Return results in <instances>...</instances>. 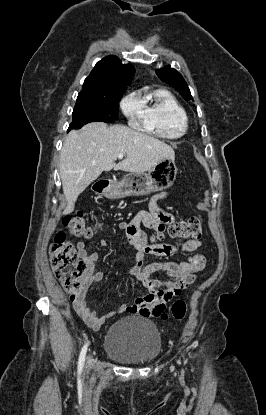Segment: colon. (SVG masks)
Here are the masks:
<instances>
[{
    "label": "colon",
    "instance_id": "5ec220e1",
    "mask_svg": "<svg viewBox=\"0 0 266 415\" xmlns=\"http://www.w3.org/2000/svg\"><path fill=\"white\" fill-rule=\"evenodd\" d=\"M69 233L75 237L89 238L94 229L86 225L83 214L78 213L68 216L63 221ZM202 234L200 218L191 217L171 223L164 230L158 232L159 238L165 235L174 239H197ZM50 259L55 275L62 282L71 300L78 296L81 279L85 275L87 266L85 261L77 254L71 241L67 240L64 231H59L50 245ZM187 304L183 299L176 300L171 306L170 312L165 309L152 310L154 316L163 319L172 317L182 320L186 316Z\"/></svg>",
    "mask_w": 266,
    "mask_h": 415
}]
</instances>
